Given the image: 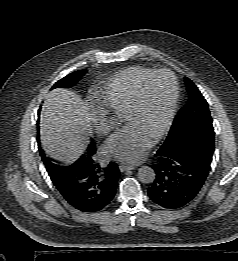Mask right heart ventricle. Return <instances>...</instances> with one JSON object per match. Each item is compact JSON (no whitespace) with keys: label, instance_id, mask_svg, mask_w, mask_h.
<instances>
[{"label":"right heart ventricle","instance_id":"e07e8e85","mask_svg":"<svg viewBox=\"0 0 238 261\" xmlns=\"http://www.w3.org/2000/svg\"><path fill=\"white\" fill-rule=\"evenodd\" d=\"M152 71V69L142 66L123 70L98 91V103L105 110L118 116L126 114L139 83Z\"/></svg>","mask_w":238,"mask_h":261}]
</instances>
